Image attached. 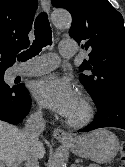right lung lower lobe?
Returning a JSON list of instances; mask_svg holds the SVG:
<instances>
[{"mask_svg": "<svg viewBox=\"0 0 125 167\" xmlns=\"http://www.w3.org/2000/svg\"><path fill=\"white\" fill-rule=\"evenodd\" d=\"M31 99L23 84L13 87L0 85V120L20 123L29 113Z\"/></svg>", "mask_w": 125, "mask_h": 167, "instance_id": "right-lung-lower-lobe-1", "label": "right lung lower lobe"}]
</instances>
